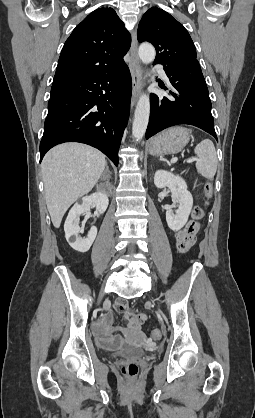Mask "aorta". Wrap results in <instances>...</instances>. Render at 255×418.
I'll use <instances>...</instances> for the list:
<instances>
[{
  "label": "aorta",
  "instance_id": "1",
  "mask_svg": "<svg viewBox=\"0 0 255 418\" xmlns=\"http://www.w3.org/2000/svg\"><path fill=\"white\" fill-rule=\"evenodd\" d=\"M138 55L144 64H149L155 59V49L149 43H143L139 47ZM150 116V98L143 93L137 102L132 125V134L136 141H140L147 129Z\"/></svg>",
  "mask_w": 255,
  "mask_h": 418
}]
</instances>
